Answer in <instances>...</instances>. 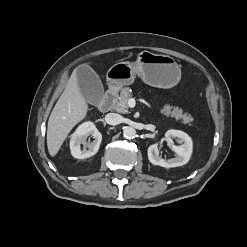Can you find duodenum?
<instances>
[{
  "label": "duodenum",
  "instance_id": "duodenum-1",
  "mask_svg": "<svg viewBox=\"0 0 247 247\" xmlns=\"http://www.w3.org/2000/svg\"><path fill=\"white\" fill-rule=\"evenodd\" d=\"M116 99H117V91L112 88L107 90L102 100L99 103L98 109L101 112H107L113 106Z\"/></svg>",
  "mask_w": 247,
  "mask_h": 247
}]
</instances>
